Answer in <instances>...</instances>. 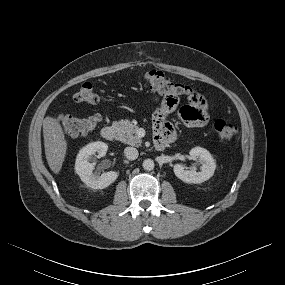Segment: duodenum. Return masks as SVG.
<instances>
[{"instance_id":"duodenum-1","label":"duodenum","mask_w":285,"mask_h":285,"mask_svg":"<svg viewBox=\"0 0 285 285\" xmlns=\"http://www.w3.org/2000/svg\"><path fill=\"white\" fill-rule=\"evenodd\" d=\"M116 132V127L112 125H107L102 128L101 136L107 141H112L116 137ZM168 142L169 141L165 137H156L154 140V145L157 150L161 151L165 149Z\"/></svg>"}]
</instances>
